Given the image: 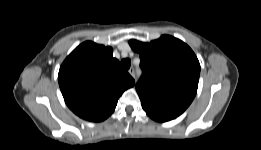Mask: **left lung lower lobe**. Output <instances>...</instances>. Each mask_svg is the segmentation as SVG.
<instances>
[{"mask_svg": "<svg viewBox=\"0 0 261 150\" xmlns=\"http://www.w3.org/2000/svg\"><path fill=\"white\" fill-rule=\"evenodd\" d=\"M144 110L149 117H151L153 120L158 121V122H164V121L173 119V118L166 116L164 114H161V113H157V112L147 110V109H144Z\"/></svg>", "mask_w": 261, "mask_h": 150, "instance_id": "obj_1", "label": "left lung lower lobe"}]
</instances>
